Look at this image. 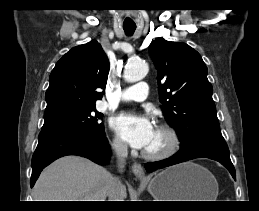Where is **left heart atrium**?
<instances>
[{"label": "left heart atrium", "instance_id": "left-heart-atrium-1", "mask_svg": "<svg viewBox=\"0 0 259 211\" xmlns=\"http://www.w3.org/2000/svg\"><path fill=\"white\" fill-rule=\"evenodd\" d=\"M111 126L127 143L137 149H145L155 132L148 117L133 114H120L114 117Z\"/></svg>", "mask_w": 259, "mask_h": 211}]
</instances>
